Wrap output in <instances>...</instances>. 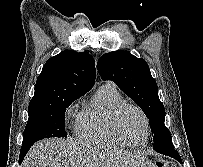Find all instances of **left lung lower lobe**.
I'll use <instances>...</instances> for the list:
<instances>
[{
    "label": "left lung lower lobe",
    "mask_w": 203,
    "mask_h": 167,
    "mask_svg": "<svg viewBox=\"0 0 203 167\" xmlns=\"http://www.w3.org/2000/svg\"><path fill=\"white\" fill-rule=\"evenodd\" d=\"M153 148L161 154L171 156L173 158H177L178 154L174 148L172 140L170 139H163L156 144L153 145Z\"/></svg>",
    "instance_id": "left-lung-lower-lobe-1"
}]
</instances>
